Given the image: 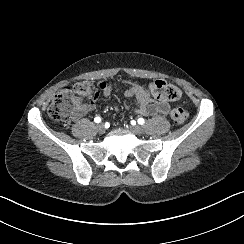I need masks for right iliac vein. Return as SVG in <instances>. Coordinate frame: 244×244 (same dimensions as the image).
I'll return each instance as SVG.
<instances>
[{
    "label": "right iliac vein",
    "mask_w": 244,
    "mask_h": 244,
    "mask_svg": "<svg viewBox=\"0 0 244 244\" xmlns=\"http://www.w3.org/2000/svg\"><path fill=\"white\" fill-rule=\"evenodd\" d=\"M96 129H97V131H98L100 134H104L105 131H106V128H105V126H104L102 123L98 124V125L96 126Z\"/></svg>",
    "instance_id": "right-iliac-vein-1"
}]
</instances>
